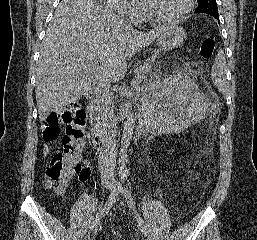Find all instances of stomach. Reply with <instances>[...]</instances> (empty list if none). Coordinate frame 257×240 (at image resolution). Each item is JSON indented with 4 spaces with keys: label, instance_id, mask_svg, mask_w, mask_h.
I'll return each mask as SVG.
<instances>
[{
    "label": "stomach",
    "instance_id": "obj_1",
    "mask_svg": "<svg viewBox=\"0 0 257 240\" xmlns=\"http://www.w3.org/2000/svg\"><path fill=\"white\" fill-rule=\"evenodd\" d=\"M186 33L183 27L176 24H167L161 34L155 39L156 45L163 50L178 47L185 39Z\"/></svg>",
    "mask_w": 257,
    "mask_h": 240
}]
</instances>
